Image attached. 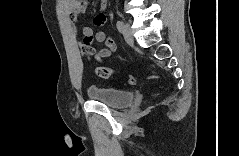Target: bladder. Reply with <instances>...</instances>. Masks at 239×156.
Segmentation results:
<instances>
[{
  "label": "bladder",
  "instance_id": "31cf9c89",
  "mask_svg": "<svg viewBox=\"0 0 239 156\" xmlns=\"http://www.w3.org/2000/svg\"><path fill=\"white\" fill-rule=\"evenodd\" d=\"M88 97L97 102H101L112 109H124L129 106L135 97L131 90H120L108 87H89L87 89Z\"/></svg>",
  "mask_w": 239,
  "mask_h": 156
}]
</instances>
